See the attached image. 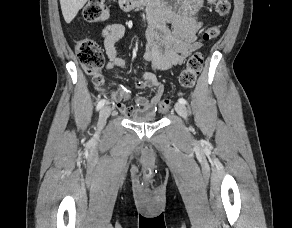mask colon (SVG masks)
<instances>
[{
  "mask_svg": "<svg viewBox=\"0 0 292 228\" xmlns=\"http://www.w3.org/2000/svg\"><path fill=\"white\" fill-rule=\"evenodd\" d=\"M231 10L230 0H216L215 11L218 16L224 17ZM106 14V5L104 0H90L83 9V18L88 22H96L102 19ZM218 26H209L204 29L202 37L204 40H212L219 36ZM76 56L84 71L93 77V84L96 88L103 86L104 80L101 69L104 65V55L98 44L90 38H84L77 42L75 46ZM204 65L202 53H193L186 64V68L180 75V83L185 88H192L197 80ZM120 98V95H116ZM171 107V100L164 98L158 106L160 113L167 112Z\"/></svg>",
  "mask_w": 292,
  "mask_h": 228,
  "instance_id": "5ec220e1",
  "label": "colon"
}]
</instances>
